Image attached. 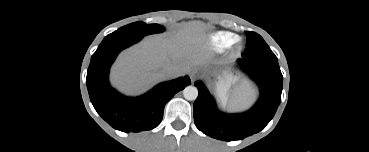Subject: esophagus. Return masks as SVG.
<instances>
[{
    "label": "esophagus",
    "mask_w": 369,
    "mask_h": 152,
    "mask_svg": "<svg viewBox=\"0 0 369 152\" xmlns=\"http://www.w3.org/2000/svg\"><path fill=\"white\" fill-rule=\"evenodd\" d=\"M195 75V71L193 70L192 72H191V77H193Z\"/></svg>",
    "instance_id": "esophagus-1"
}]
</instances>
